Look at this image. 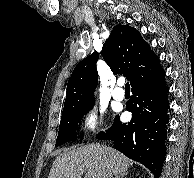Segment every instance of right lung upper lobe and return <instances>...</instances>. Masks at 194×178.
<instances>
[{
  "instance_id": "obj_1",
  "label": "right lung upper lobe",
  "mask_w": 194,
  "mask_h": 178,
  "mask_svg": "<svg viewBox=\"0 0 194 178\" xmlns=\"http://www.w3.org/2000/svg\"><path fill=\"white\" fill-rule=\"evenodd\" d=\"M101 55L114 74H123L132 88L153 78L162 67L140 33L127 25L113 28L103 44ZM97 52L82 60L74 69L67 84L63 113L82 108L94 102L97 86Z\"/></svg>"
}]
</instances>
